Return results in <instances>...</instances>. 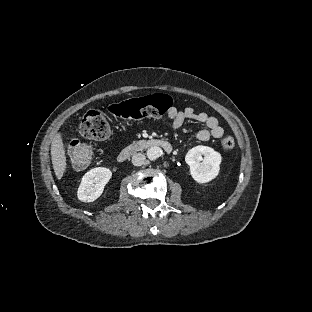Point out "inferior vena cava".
<instances>
[{"label": "inferior vena cava", "mask_w": 312, "mask_h": 312, "mask_svg": "<svg viewBox=\"0 0 312 312\" xmlns=\"http://www.w3.org/2000/svg\"><path fill=\"white\" fill-rule=\"evenodd\" d=\"M144 162H145V155H143L141 153L133 155L132 164L134 166H141L144 164Z\"/></svg>", "instance_id": "1"}]
</instances>
